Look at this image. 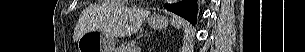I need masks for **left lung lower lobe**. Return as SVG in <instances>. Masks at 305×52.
<instances>
[{
    "label": "left lung lower lobe",
    "mask_w": 305,
    "mask_h": 52,
    "mask_svg": "<svg viewBox=\"0 0 305 52\" xmlns=\"http://www.w3.org/2000/svg\"><path fill=\"white\" fill-rule=\"evenodd\" d=\"M166 8L175 14L185 18L192 24L197 20V4L196 0H185L177 4H166Z\"/></svg>",
    "instance_id": "left-lung-lower-lobe-1"
}]
</instances>
